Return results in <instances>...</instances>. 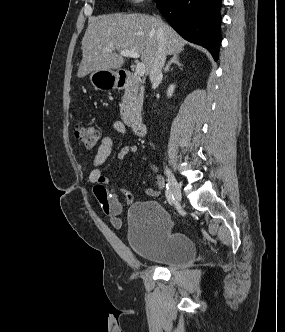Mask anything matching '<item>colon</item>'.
<instances>
[{"label": "colon", "instance_id": "5ec220e1", "mask_svg": "<svg viewBox=\"0 0 285 332\" xmlns=\"http://www.w3.org/2000/svg\"><path fill=\"white\" fill-rule=\"evenodd\" d=\"M74 133L79 142L86 148L96 147L100 140L99 131L92 126L77 124L74 127Z\"/></svg>", "mask_w": 285, "mask_h": 332}]
</instances>
